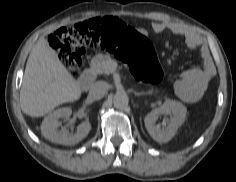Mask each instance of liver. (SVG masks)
Masks as SVG:
<instances>
[{
    "label": "liver",
    "mask_w": 236,
    "mask_h": 182,
    "mask_svg": "<svg viewBox=\"0 0 236 182\" xmlns=\"http://www.w3.org/2000/svg\"><path fill=\"white\" fill-rule=\"evenodd\" d=\"M81 94L80 83L41 37L27 60L20 91L22 111L31 117H42L63 103L77 101Z\"/></svg>",
    "instance_id": "liver-1"
}]
</instances>
